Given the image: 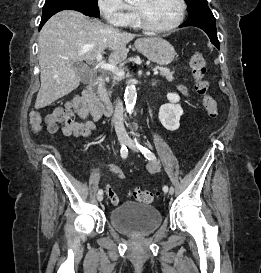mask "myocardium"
Instances as JSON below:
<instances>
[{"label": "myocardium", "instance_id": "f54148a6", "mask_svg": "<svg viewBox=\"0 0 261 273\" xmlns=\"http://www.w3.org/2000/svg\"><path fill=\"white\" fill-rule=\"evenodd\" d=\"M178 3L180 5L179 17L173 24H171L167 27H156V26L152 25L146 15V13L144 12V10L139 7H135V12H136L140 26L143 29H145L149 32H153V33H166V32H170V31L176 29L178 26H180L183 23V21L185 19V15H186V10H187L185 0H178Z\"/></svg>", "mask_w": 261, "mask_h": 273}]
</instances>
